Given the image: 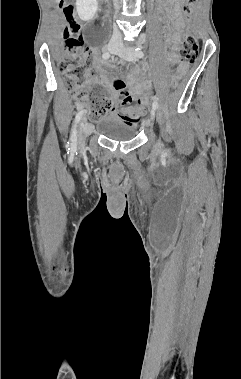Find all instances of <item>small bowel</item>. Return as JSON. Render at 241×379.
<instances>
[{"mask_svg": "<svg viewBox=\"0 0 241 379\" xmlns=\"http://www.w3.org/2000/svg\"><path fill=\"white\" fill-rule=\"evenodd\" d=\"M180 1L181 0H164V7L167 13L169 14L170 18L173 20V26L169 30L167 38V44L170 47L168 59L173 64L178 63L177 51L180 45L181 34L185 28V21L180 14ZM95 71L99 74L101 83L110 93L112 101L120 106V110L116 113L117 117L129 124L141 125L142 121L144 120V115L142 114V112L144 110L145 103L141 102V99L139 98V93L143 92L144 87H150V82L147 79L146 71L142 70L140 72H135L127 77V85L129 87V92L126 89L127 93L125 95L122 94L121 91L115 87L114 83V89L111 87L102 65L97 64L95 66ZM184 71L185 66L182 64L179 65L178 74L182 75ZM96 81L97 80L93 78L91 74H89L88 83L93 84ZM117 92L123 95V98H121L120 100L118 99Z\"/></svg>", "mask_w": 241, "mask_h": 379, "instance_id": "c3829d8e", "label": "small bowel"}]
</instances>
